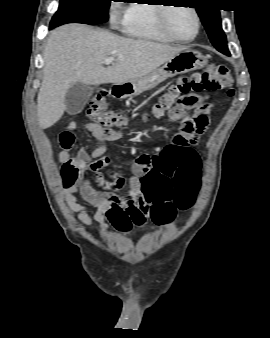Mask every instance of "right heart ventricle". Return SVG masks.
I'll return each mask as SVG.
<instances>
[{"label":"right heart ventricle","instance_id":"obj_1","mask_svg":"<svg viewBox=\"0 0 270 338\" xmlns=\"http://www.w3.org/2000/svg\"><path fill=\"white\" fill-rule=\"evenodd\" d=\"M158 5L133 4L127 10L123 31L132 37L155 42H170L158 26Z\"/></svg>","mask_w":270,"mask_h":338}]
</instances>
